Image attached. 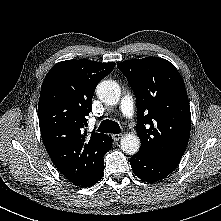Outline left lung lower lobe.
Here are the masks:
<instances>
[{
    "label": "left lung lower lobe",
    "instance_id": "0a47b994",
    "mask_svg": "<svg viewBox=\"0 0 221 221\" xmlns=\"http://www.w3.org/2000/svg\"><path fill=\"white\" fill-rule=\"evenodd\" d=\"M133 172L140 179L156 182L167 177L178 166V161L163 160L137 152L130 158Z\"/></svg>",
    "mask_w": 221,
    "mask_h": 221
}]
</instances>
